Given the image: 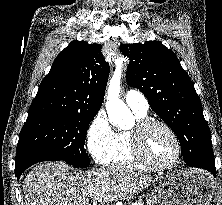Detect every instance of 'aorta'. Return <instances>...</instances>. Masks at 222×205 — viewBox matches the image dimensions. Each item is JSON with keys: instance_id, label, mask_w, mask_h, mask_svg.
<instances>
[{"instance_id": "aorta-1", "label": "aorta", "mask_w": 222, "mask_h": 205, "mask_svg": "<svg viewBox=\"0 0 222 205\" xmlns=\"http://www.w3.org/2000/svg\"><path fill=\"white\" fill-rule=\"evenodd\" d=\"M117 67L107 88L106 110L109 121L120 128H129L134 123V117L130 109L120 99V83L122 73L121 61L116 62Z\"/></svg>"}]
</instances>
